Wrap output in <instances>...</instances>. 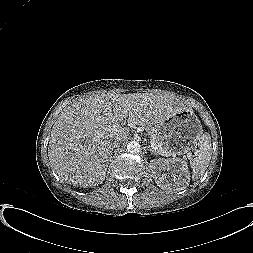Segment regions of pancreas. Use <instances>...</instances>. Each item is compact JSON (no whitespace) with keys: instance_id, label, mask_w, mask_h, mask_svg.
<instances>
[{"instance_id":"pancreas-1","label":"pancreas","mask_w":253,"mask_h":253,"mask_svg":"<svg viewBox=\"0 0 253 253\" xmlns=\"http://www.w3.org/2000/svg\"><path fill=\"white\" fill-rule=\"evenodd\" d=\"M149 134H150L151 140L161 145V149L157 151L159 154L164 155V152H168L169 154H171V150H169L167 147L164 146L163 141L160 139L155 129H149Z\"/></svg>"}]
</instances>
